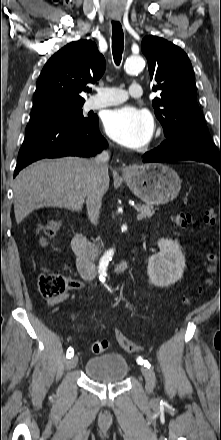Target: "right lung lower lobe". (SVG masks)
<instances>
[{"instance_id":"right-lung-lower-lobe-1","label":"right lung lower lobe","mask_w":221,"mask_h":440,"mask_svg":"<svg viewBox=\"0 0 221 440\" xmlns=\"http://www.w3.org/2000/svg\"><path fill=\"white\" fill-rule=\"evenodd\" d=\"M106 145L99 132L97 117L87 123L59 119L30 122L18 154L14 177L21 169L42 158L89 157L101 152Z\"/></svg>"}]
</instances>
